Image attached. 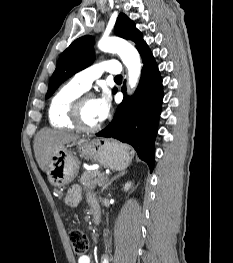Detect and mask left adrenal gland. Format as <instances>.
<instances>
[{
	"label": "left adrenal gland",
	"instance_id": "a2214340",
	"mask_svg": "<svg viewBox=\"0 0 233 263\" xmlns=\"http://www.w3.org/2000/svg\"><path fill=\"white\" fill-rule=\"evenodd\" d=\"M126 174V171H122L119 174L115 175L107 184H105L102 189H101V193L104 192V190H106L108 188V186H110L117 178L124 176Z\"/></svg>",
	"mask_w": 233,
	"mask_h": 263
}]
</instances>
